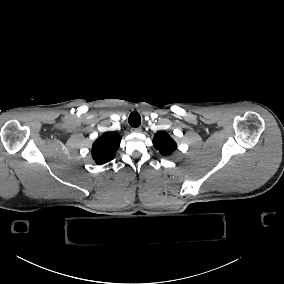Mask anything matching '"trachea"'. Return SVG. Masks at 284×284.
Instances as JSON below:
<instances>
[{"label":"trachea","instance_id":"obj_1","mask_svg":"<svg viewBox=\"0 0 284 284\" xmlns=\"http://www.w3.org/2000/svg\"><path fill=\"white\" fill-rule=\"evenodd\" d=\"M128 122H129L130 126H132V127L140 126L141 117H140L139 113L136 112V111H133L128 118Z\"/></svg>","mask_w":284,"mask_h":284}]
</instances>
